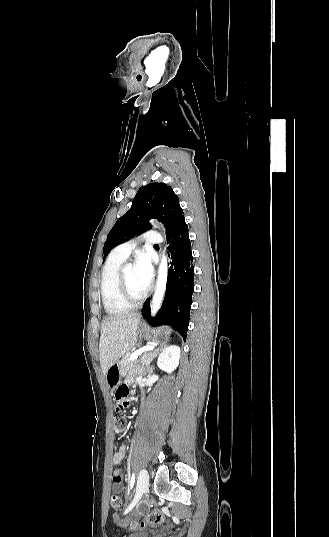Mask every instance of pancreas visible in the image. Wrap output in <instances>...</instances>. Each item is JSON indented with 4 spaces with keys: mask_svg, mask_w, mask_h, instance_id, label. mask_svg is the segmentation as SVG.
Here are the masks:
<instances>
[{
    "mask_svg": "<svg viewBox=\"0 0 329 537\" xmlns=\"http://www.w3.org/2000/svg\"><path fill=\"white\" fill-rule=\"evenodd\" d=\"M144 358V357H143ZM142 358V360H143ZM134 365V362H129V354L125 355L119 362V371L121 375L126 374Z\"/></svg>",
    "mask_w": 329,
    "mask_h": 537,
    "instance_id": "pancreas-1",
    "label": "pancreas"
}]
</instances>
